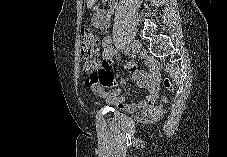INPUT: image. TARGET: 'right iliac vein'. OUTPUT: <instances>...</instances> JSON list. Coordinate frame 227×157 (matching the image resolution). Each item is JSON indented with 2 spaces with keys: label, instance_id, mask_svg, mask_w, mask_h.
Returning <instances> with one entry per match:
<instances>
[{
  "label": "right iliac vein",
  "instance_id": "63e3f726",
  "mask_svg": "<svg viewBox=\"0 0 227 157\" xmlns=\"http://www.w3.org/2000/svg\"><path fill=\"white\" fill-rule=\"evenodd\" d=\"M129 48L133 53H136L140 49V42L138 40L132 41Z\"/></svg>",
  "mask_w": 227,
  "mask_h": 157
}]
</instances>
